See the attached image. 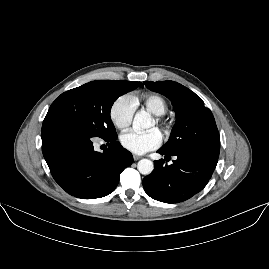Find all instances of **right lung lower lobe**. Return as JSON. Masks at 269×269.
<instances>
[{
	"label": "right lung lower lobe",
	"instance_id": "right-lung-lower-lobe-1",
	"mask_svg": "<svg viewBox=\"0 0 269 269\" xmlns=\"http://www.w3.org/2000/svg\"><path fill=\"white\" fill-rule=\"evenodd\" d=\"M42 151L55 181L70 195L83 199L107 196L120 173L133 162L132 154L114 139L103 153L94 151L92 138L72 123L45 117Z\"/></svg>",
	"mask_w": 269,
	"mask_h": 269
}]
</instances>
